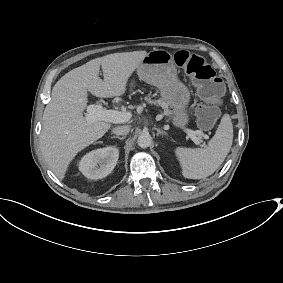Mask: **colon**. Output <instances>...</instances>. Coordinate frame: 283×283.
Here are the masks:
<instances>
[{
	"label": "colon",
	"instance_id": "obj_1",
	"mask_svg": "<svg viewBox=\"0 0 283 283\" xmlns=\"http://www.w3.org/2000/svg\"><path fill=\"white\" fill-rule=\"evenodd\" d=\"M176 64L192 78L203 100L197 110L198 123L203 128L211 127L218 118V104L223 93V84L212 66L201 56L188 51L174 55Z\"/></svg>",
	"mask_w": 283,
	"mask_h": 283
}]
</instances>
